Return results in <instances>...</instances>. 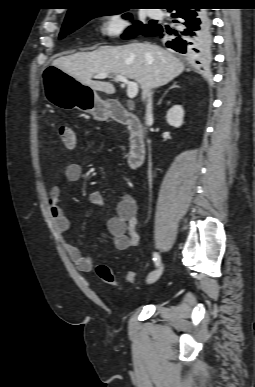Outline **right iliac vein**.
<instances>
[{"label":"right iliac vein","mask_w":255,"mask_h":387,"mask_svg":"<svg viewBox=\"0 0 255 387\" xmlns=\"http://www.w3.org/2000/svg\"><path fill=\"white\" fill-rule=\"evenodd\" d=\"M162 272H163V265L160 264L156 270H154L153 272H151L149 274V276L147 278V283L152 284V283L156 282L160 278Z\"/></svg>","instance_id":"obj_1"}]
</instances>
